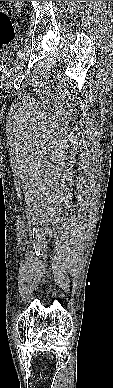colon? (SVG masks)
<instances>
[{
    "mask_svg": "<svg viewBox=\"0 0 113 388\" xmlns=\"http://www.w3.org/2000/svg\"><path fill=\"white\" fill-rule=\"evenodd\" d=\"M15 36V29L11 20V14L0 9V50L10 44Z\"/></svg>",
    "mask_w": 113,
    "mask_h": 388,
    "instance_id": "colon-1",
    "label": "colon"
}]
</instances>
